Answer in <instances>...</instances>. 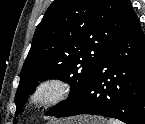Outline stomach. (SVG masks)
<instances>
[{"label":"stomach","instance_id":"obj_1","mask_svg":"<svg viewBox=\"0 0 145 124\" xmlns=\"http://www.w3.org/2000/svg\"><path fill=\"white\" fill-rule=\"evenodd\" d=\"M55 124H106V122L100 117L80 116L58 121V123Z\"/></svg>","mask_w":145,"mask_h":124}]
</instances>
